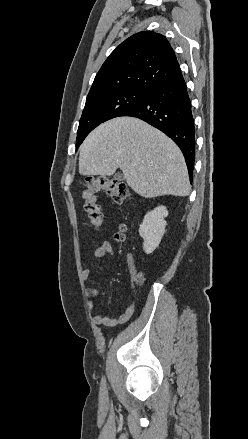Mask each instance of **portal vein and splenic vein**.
Masks as SVG:
<instances>
[{"mask_svg":"<svg viewBox=\"0 0 248 439\" xmlns=\"http://www.w3.org/2000/svg\"><path fill=\"white\" fill-rule=\"evenodd\" d=\"M132 165H134V166H135V165H136V163H135V162H133V163H132Z\"/></svg>","mask_w":248,"mask_h":439,"instance_id":"obj_1","label":"portal vein and splenic vein"}]
</instances>
